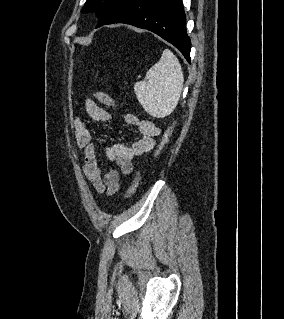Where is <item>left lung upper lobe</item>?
Here are the masks:
<instances>
[{"label":"left lung upper lobe","mask_w":284,"mask_h":319,"mask_svg":"<svg viewBox=\"0 0 284 319\" xmlns=\"http://www.w3.org/2000/svg\"><path fill=\"white\" fill-rule=\"evenodd\" d=\"M124 1L125 0H87L81 12H96L99 18L97 27H100L117 12Z\"/></svg>","instance_id":"1"}]
</instances>
